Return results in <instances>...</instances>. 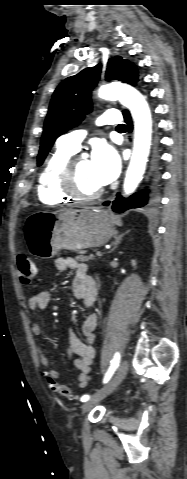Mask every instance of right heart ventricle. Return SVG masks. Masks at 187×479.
<instances>
[{"label":"right heart ventricle","mask_w":187,"mask_h":479,"mask_svg":"<svg viewBox=\"0 0 187 479\" xmlns=\"http://www.w3.org/2000/svg\"><path fill=\"white\" fill-rule=\"evenodd\" d=\"M75 153L76 151L57 143L54 151L47 158L39 175L37 186L38 199L42 203L58 205L73 200L61 190L60 181L64 166Z\"/></svg>","instance_id":"1"}]
</instances>
